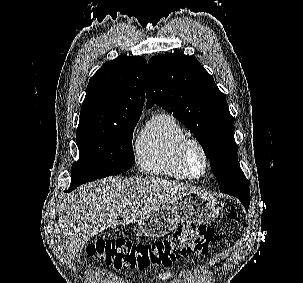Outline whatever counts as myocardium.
<instances>
[{
  "instance_id": "1",
  "label": "myocardium",
  "mask_w": 303,
  "mask_h": 283,
  "mask_svg": "<svg viewBox=\"0 0 303 283\" xmlns=\"http://www.w3.org/2000/svg\"><path fill=\"white\" fill-rule=\"evenodd\" d=\"M192 149H196L200 153V156L203 161V170L198 175L193 173L190 163H189V154ZM179 157H180L181 165H182L184 171L186 172L187 176L190 179L199 180V179L203 178L206 175V173L208 172L209 165H210L208 154L206 152V149L202 145V143L200 141H198L197 139L187 138L180 147Z\"/></svg>"
}]
</instances>
